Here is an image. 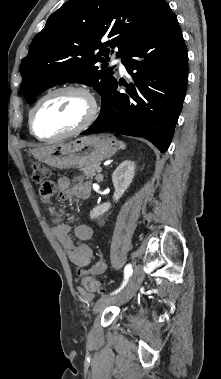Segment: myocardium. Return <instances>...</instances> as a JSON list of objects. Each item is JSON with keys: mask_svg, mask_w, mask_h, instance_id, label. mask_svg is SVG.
I'll use <instances>...</instances> for the list:
<instances>
[{"mask_svg": "<svg viewBox=\"0 0 221 379\" xmlns=\"http://www.w3.org/2000/svg\"><path fill=\"white\" fill-rule=\"evenodd\" d=\"M63 92H74V93H78V94L82 95L83 97H85L89 103L88 114L86 115L85 119L79 125H77L75 128H73L69 131H66L62 134L55 135L52 137H42V136L38 135L34 129V115H35L37 109L50 96L58 94V93H63ZM98 112H99V106H98L97 100L94 97V95L87 88H85L83 86H79V85L60 86V87H57V88H54V89L48 91L43 96H41L37 100V102L34 104V106L31 108V110L29 112V118H28L29 130H30V133L35 138H37L41 141L61 140V139L70 137L72 135L78 134V133L84 131L85 129H87L95 121V119L98 115Z\"/></svg>", "mask_w": 221, "mask_h": 379, "instance_id": "f54148a6", "label": "myocardium"}]
</instances>
